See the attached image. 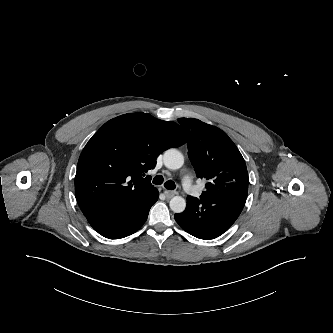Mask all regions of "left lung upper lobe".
<instances>
[{"label":"left lung upper lobe","mask_w":333,"mask_h":333,"mask_svg":"<svg viewBox=\"0 0 333 333\" xmlns=\"http://www.w3.org/2000/svg\"><path fill=\"white\" fill-rule=\"evenodd\" d=\"M178 122L188 136V154L197 176L207 181L202 195L249 183L245 161L226 133L198 119L180 118Z\"/></svg>","instance_id":"1"}]
</instances>
